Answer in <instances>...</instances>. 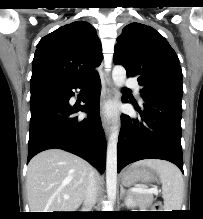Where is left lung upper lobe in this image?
Instances as JSON below:
<instances>
[{
	"label": "left lung upper lobe",
	"mask_w": 203,
	"mask_h": 219,
	"mask_svg": "<svg viewBox=\"0 0 203 219\" xmlns=\"http://www.w3.org/2000/svg\"><path fill=\"white\" fill-rule=\"evenodd\" d=\"M115 64L125 67L128 77H137L141 95L166 94L182 97V70L168 41L154 28L132 23L117 39Z\"/></svg>",
	"instance_id": "left-lung-upper-lobe-1"
}]
</instances>
